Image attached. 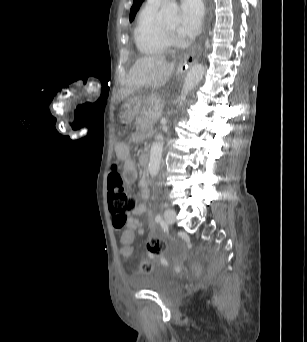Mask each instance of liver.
Instances as JSON below:
<instances>
[{"mask_svg":"<svg viewBox=\"0 0 307 342\" xmlns=\"http://www.w3.org/2000/svg\"><path fill=\"white\" fill-rule=\"evenodd\" d=\"M175 62H167L166 56H144L139 58L130 68L126 84L120 92L121 100H125L130 94H134L136 90L141 88H159L168 82L173 70Z\"/></svg>","mask_w":307,"mask_h":342,"instance_id":"liver-1","label":"liver"}]
</instances>
